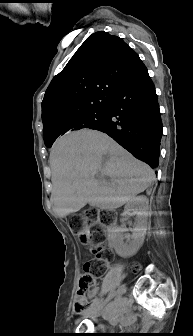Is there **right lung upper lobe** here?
I'll use <instances>...</instances> for the list:
<instances>
[{
	"mask_svg": "<svg viewBox=\"0 0 193 336\" xmlns=\"http://www.w3.org/2000/svg\"><path fill=\"white\" fill-rule=\"evenodd\" d=\"M141 62L121 38L103 31L90 35L46 90L42 102L44 140L68 134L79 117L107 108Z\"/></svg>",
	"mask_w": 193,
	"mask_h": 336,
	"instance_id": "right-lung-upper-lobe-1",
	"label": "right lung upper lobe"
}]
</instances>
